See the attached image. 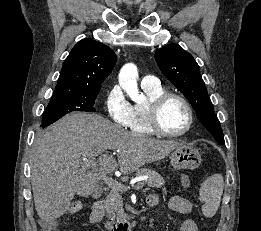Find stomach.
I'll return each instance as SVG.
<instances>
[{"label": "stomach", "instance_id": "obj_1", "mask_svg": "<svg viewBox=\"0 0 261 231\" xmlns=\"http://www.w3.org/2000/svg\"><path fill=\"white\" fill-rule=\"evenodd\" d=\"M171 165L177 170L193 169L200 165L201 156L198 150L183 144L170 154Z\"/></svg>", "mask_w": 261, "mask_h": 231}]
</instances>
